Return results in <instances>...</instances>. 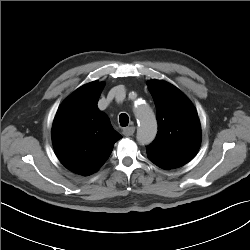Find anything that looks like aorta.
Instances as JSON below:
<instances>
[{
    "label": "aorta",
    "mask_w": 250,
    "mask_h": 250,
    "mask_svg": "<svg viewBox=\"0 0 250 250\" xmlns=\"http://www.w3.org/2000/svg\"><path fill=\"white\" fill-rule=\"evenodd\" d=\"M135 116L138 120L137 141L141 145H148L157 133L155 115L148 104L140 103L135 107Z\"/></svg>",
    "instance_id": "obj_1"
}]
</instances>
